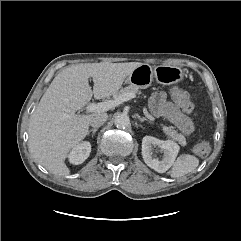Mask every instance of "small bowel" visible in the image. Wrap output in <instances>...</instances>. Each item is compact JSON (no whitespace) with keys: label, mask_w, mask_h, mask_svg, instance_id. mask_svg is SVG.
Segmentation results:
<instances>
[{"label":"small bowel","mask_w":241,"mask_h":241,"mask_svg":"<svg viewBox=\"0 0 241 241\" xmlns=\"http://www.w3.org/2000/svg\"><path fill=\"white\" fill-rule=\"evenodd\" d=\"M152 111L156 116L164 117L177 126L184 135H190L194 130L193 121L168 101L164 92H155L151 97Z\"/></svg>","instance_id":"small-bowel-1"}]
</instances>
